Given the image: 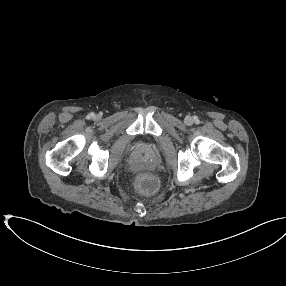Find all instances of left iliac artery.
I'll return each instance as SVG.
<instances>
[{
	"label": "left iliac artery",
	"mask_w": 286,
	"mask_h": 286,
	"mask_svg": "<svg viewBox=\"0 0 286 286\" xmlns=\"http://www.w3.org/2000/svg\"><path fill=\"white\" fill-rule=\"evenodd\" d=\"M195 121H196V122H198V119H197V118H195Z\"/></svg>",
	"instance_id": "obj_1"
}]
</instances>
